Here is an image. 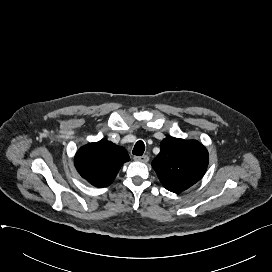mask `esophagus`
<instances>
[{
	"mask_svg": "<svg viewBox=\"0 0 272 272\" xmlns=\"http://www.w3.org/2000/svg\"><path fill=\"white\" fill-rule=\"evenodd\" d=\"M134 159L143 163H147L149 161V157L147 155L135 156Z\"/></svg>",
	"mask_w": 272,
	"mask_h": 272,
	"instance_id": "esophagus-1",
	"label": "esophagus"
}]
</instances>
